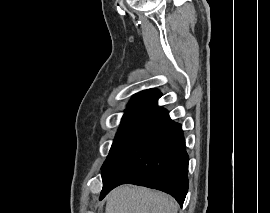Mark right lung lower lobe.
<instances>
[{"label": "right lung lower lobe", "mask_w": 270, "mask_h": 213, "mask_svg": "<svg viewBox=\"0 0 270 213\" xmlns=\"http://www.w3.org/2000/svg\"><path fill=\"white\" fill-rule=\"evenodd\" d=\"M188 161L182 126L156 107L102 170L100 200L131 183L172 195L182 205L188 191Z\"/></svg>", "instance_id": "1"}]
</instances>
